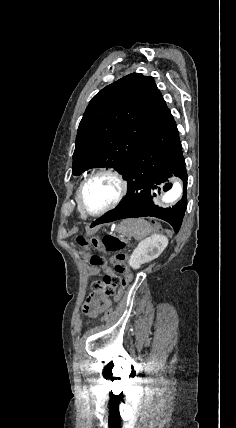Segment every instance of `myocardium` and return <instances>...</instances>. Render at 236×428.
<instances>
[{
	"label": "myocardium",
	"mask_w": 236,
	"mask_h": 428,
	"mask_svg": "<svg viewBox=\"0 0 236 428\" xmlns=\"http://www.w3.org/2000/svg\"><path fill=\"white\" fill-rule=\"evenodd\" d=\"M100 176H109L113 178L118 183L119 191L116 198L109 205H107L106 207L100 210L93 211V210H90L85 203L84 189L88 182ZM128 190H129V184L126 178L124 177V175L119 170L113 167H101L92 171L81 181L78 187V202L84 214L89 216H101L117 208L119 204L123 201L125 196L127 195Z\"/></svg>",
	"instance_id": "1"
}]
</instances>
